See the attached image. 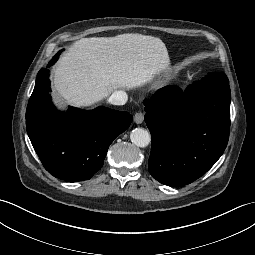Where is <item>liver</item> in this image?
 Returning <instances> with one entry per match:
<instances>
[{"label": "liver", "instance_id": "obj_1", "mask_svg": "<svg viewBox=\"0 0 255 255\" xmlns=\"http://www.w3.org/2000/svg\"><path fill=\"white\" fill-rule=\"evenodd\" d=\"M169 67L167 48L159 38L132 33L83 38L60 58L53 82L67 103L89 107L117 89L140 88Z\"/></svg>", "mask_w": 255, "mask_h": 255}]
</instances>
